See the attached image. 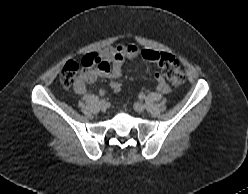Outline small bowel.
<instances>
[{"instance_id": "small-bowel-1", "label": "small bowel", "mask_w": 248, "mask_h": 194, "mask_svg": "<svg viewBox=\"0 0 248 194\" xmlns=\"http://www.w3.org/2000/svg\"><path fill=\"white\" fill-rule=\"evenodd\" d=\"M157 52L149 49H139L135 45H117L107 47L102 51L93 54L94 63L86 66L79 81L75 84L74 90L77 94L86 92V84H91L99 77L117 78L122 73V67L126 60L141 56L147 70L150 71L154 62V55ZM156 91L162 94L170 92V86L161 73H155Z\"/></svg>"}]
</instances>
